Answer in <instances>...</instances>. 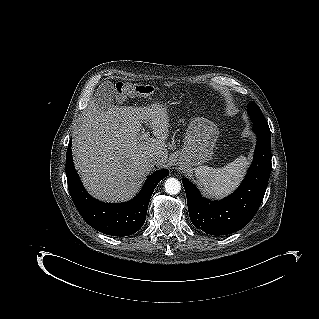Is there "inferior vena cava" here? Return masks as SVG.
Wrapping results in <instances>:
<instances>
[{
	"label": "inferior vena cava",
	"mask_w": 319,
	"mask_h": 319,
	"mask_svg": "<svg viewBox=\"0 0 319 319\" xmlns=\"http://www.w3.org/2000/svg\"><path fill=\"white\" fill-rule=\"evenodd\" d=\"M162 162L160 156H152L148 159V163L151 166L160 165Z\"/></svg>",
	"instance_id": "602c4592"
}]
</instances>
